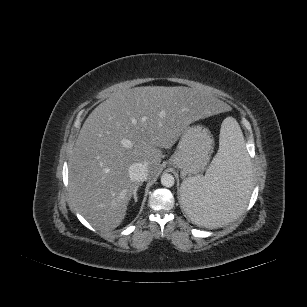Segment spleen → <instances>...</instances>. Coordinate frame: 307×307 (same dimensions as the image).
Here are the masks:
<instances>
[{
	"label": "spleen",
	"mask_w": 307,
	"mask_h": 307,
	"mask_svg": "<svg viewBox=\"0 0 307 307\" xmlns=\"http://www.w3.org/2000/svg\"><path fill=\"white\" fill-rule=\"evenodd\" d=\"M180 189L182 205L195 224L217 228L242 213L251 193L250 157L234 118L221 125L219 150L205 176L184 179Z\"/></svg>",
	"instance_id": "3e777b00"
}]
</instances>
